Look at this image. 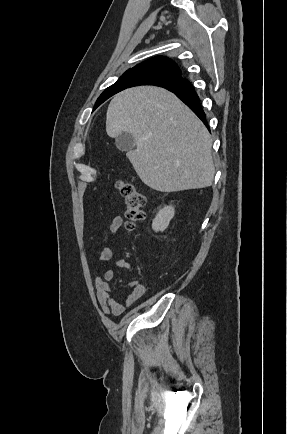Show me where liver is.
Here are the masks:
<instances>
[{"label": "liver", "mask_w": 287, "mask_h": 434, "mask_svg": "<svg viewBox=\"0 0 287 434\" xmlns=\"http://www.w3.org/2000/svg\"><path fill=\"white\" fill-rule=\"evenodd\" d=\"M106 132L134 136L137 149L127 157L148 187L169 193L212 185L211 136L173 93L155 86L118 93L107 109Z\"/></svg>", "instance_id": "1"}]
</instances>
